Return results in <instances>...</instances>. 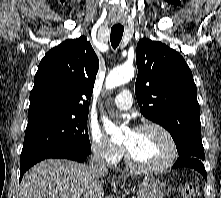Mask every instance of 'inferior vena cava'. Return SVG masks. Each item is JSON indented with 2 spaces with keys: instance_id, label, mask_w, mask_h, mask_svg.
<instances>
[{
  "instance_id": "1",
  "label": "inferior vena cava",
  "mask_w": 221,
  "mask_h": 198,
  "mask_svg": "<svg viewBox=\"0 0 221 198\" xmlns=\"http://www.w3.org/2000/svg\"><path fill=\"white\" fill-rule=\"evenodd\" d=\"M89 167L99 173L108 171L106 161L100 152L95 153L91 158Z\"/></svg>"
}]
</instances>
